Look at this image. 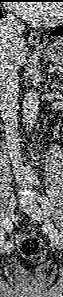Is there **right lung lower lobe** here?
Wrapping results in <instances>:
<instances>
[{"label": "right lung lower lobe", "instance_id": "1", "mask_svg": "<svg viewBox=\"0 0 63 297\" xmlns=\"http://www.w3.org/2000/svg\"><path fill=\"white\" fill-rule=\"evenodd\" d=\"M3 17V14H2V12L0 11V18H2Z\"/></svg>", "mask_w": 63, "mask_h": 297}]
</instances>
